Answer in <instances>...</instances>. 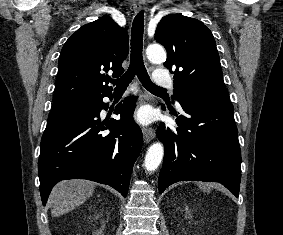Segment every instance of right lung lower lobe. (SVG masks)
I'll list each match as a JSON object with an SVG mask.
<instances>
[{
    "instance_id": "obj_1",
    "label": "right lung lower lobe",
    "mask_w": 283,
    "mask_h": 235,
    "mask_svg": "<svg viewBox=\"0 0 283 235\" xmlns=\"http://www.w3.org/2000/svg\"><path fill=\"white\" fill-rule=\"evenodd\" d=\"M105 96L111 98V93L92 98L78 115L45 129L38 162L43 205L57 182L72 178L107 184L127 196L143 142L132 117L136 98L117 105L114 113L121 115L120 121H101L100 111L108 108L102 101Z\"/></svg>"
}]
</instances>
